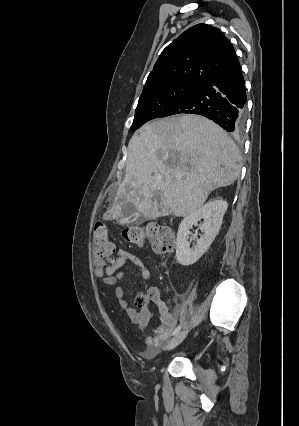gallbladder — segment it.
<instances>
[{
	"mask_svg": "<svg viewBox=\"0 0 299 426\" xmlns=\"http://www.w3.org/2000/svg\"><path fill=\"white\" fill-rule=\"evenodd\" d=\"M123 220L119 222L122 225L137 223L141 217H137V209L134 205L128 203L123 207Z\"/></svg>",
	"mask_w": 299,
	"mask_h": 426,
	"instance_id": "gallbladder-1",
	"label": "gallbladder"
}]
</instances>
